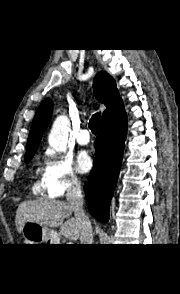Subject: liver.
<instances>
[{
  "label": "liver",
  "mask_w": 180,
  "mask_h": 294,
  "mask_svg": "<svg viewBox=\"0 0 180 294\" xmlns=\"http://www.w3.org/2000/svg\"><path fill=\"white\" fill-rule=\"evenodd\" d=\"M73 209L66 201L33 200L24 201L18 206L15 223L18 233L26 222H35L43 226L60 227L66 238L77 240L80 236L76 218L70 217ZM68 218L65 222L64 219Z\"/></svg>",
  "instance_id": "1"
}]
</instances>
